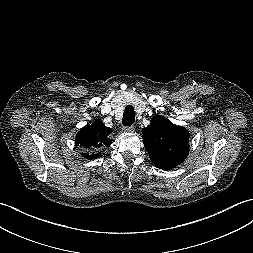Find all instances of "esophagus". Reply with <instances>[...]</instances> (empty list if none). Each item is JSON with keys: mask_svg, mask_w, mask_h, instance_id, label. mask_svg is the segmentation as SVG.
Listing matches in <instances>:
<instances>
[{"mask_svg": "<svg viewBox=\"0 0 253 253\" xmlns=\"http://www.w3.org/2000/svg\"><path fill=\"white\" fill-rule=\"evenodd\" d=\"M134 130H135L134 126L123 127L124 132L130 133V132H134Z\"/></svg>", "mask_w": 253, "mask_h": 253, "instance_id": "34e87169", "label": "esophagus"}]
</instances>
